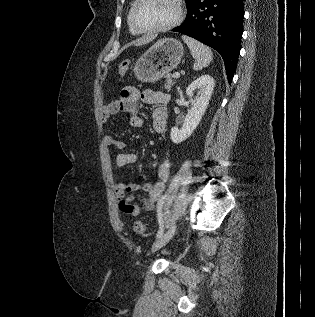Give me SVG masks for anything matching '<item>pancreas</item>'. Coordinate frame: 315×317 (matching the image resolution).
Returning a JSON list of instances; mask_svg holds the SVG:
<instances>
[{"mask_svg": "<svg viewBox=\"0 0 315 317\" xmlns=\"http://www.w3.org/2000/svg\"><path fill=\"white\" fill-rule=\"evenodd\" d=\"M174 79L172 76L170 75H166V83L164 85V88L167 90V91H170L172 86L174 85Z\"/></svg>", "mask_w": 315, "mask_h": 317, "instance_id": "cf45deb5", "label": "pancreas"}]
</instances>
